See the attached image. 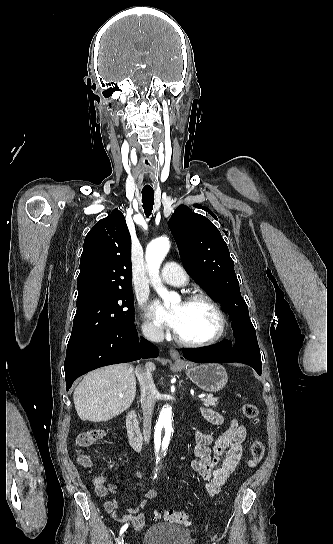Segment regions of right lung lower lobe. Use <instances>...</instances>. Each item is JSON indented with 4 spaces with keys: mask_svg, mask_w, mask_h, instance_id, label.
<instances>
[{
    "mask_svg": "<svg viewBox=\"0 0 333 544\" xmlns=\"http://www.w3.org/2000/svg\"><path fill=\"white\" fill-rule=\"evenodd\" d=\"M157 356L152 343L143 337L139 342L134 322L126 324L66 352V388L69 390L79 376L96 368Z\"/></svg>",
    "mask_w": 333,
    "mask_h": 544,
    "instance_id": "98d812e1",
    "label": "right lung lower lobe"
}]
</instances>
